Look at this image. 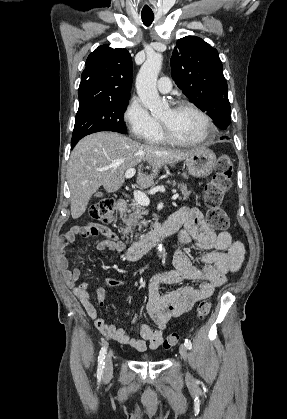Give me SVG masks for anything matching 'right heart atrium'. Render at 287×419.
<instances>
[{"label":"right heart atrium","mask_w":287,"mask_h":419,"mask_svg":"<svg viewBox=\"0 0 287 419\" xmlns=\"http://www.w3.org/2000/svg\"><path fill=\"white\" fill-rule=\"evenodd\" d=\"M123 119L130 133L138 139L149 142L161 132L159 122L137 97L130 100Z\"/></svg>","instance_id":"1"}]
</instances>
